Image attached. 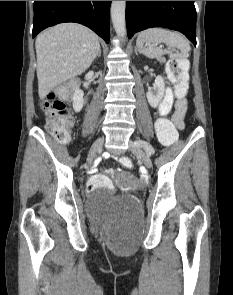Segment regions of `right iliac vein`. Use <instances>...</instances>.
Here are the masks:
<instances>
[{
    "mask_svg": "<svg viewBox=\"0 0 233 295\" xmlns=\"http://www.w3.org/2000/svg\"><path fill=\"white\" fill-rule=\"evenodd\" d=\"M103 143H104L103 138H99L94 142L87 157L88 165L91 164L93 160L96 158V156L102 151Z\"/></svg>",
    "mask_w": 233,
    "mask_h": 295,
    "instance_id": "1",
    "label": "right iliac vein"
}]
</instances>
